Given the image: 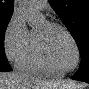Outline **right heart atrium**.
Instances as JSON below:
<instances>
[{
    "instance_id": "right-heart-atrium-1",
    "label": "right heart atrium",
    "mask_w": 89,
    "mask_h": 89,
    "mask_svg": "<svg viewBox=\"0 0 89 89\" xmlns=\"http://www.w3.org/2000/svg\"><path fill=\"white\" fill-rule=\"evenodd\" d=\"M30 31L22 16L14 13L4 34V50L7 58L18 63L29 48Z\"/></svg>"
}]
</instances>
